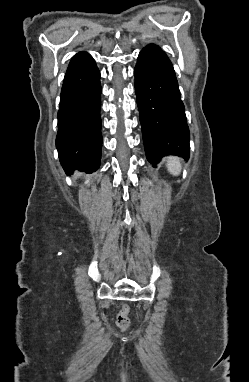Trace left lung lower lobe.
<instances>
[{"mask_svg": "<svg viewBox=\"0 0 249 382\" xmlns=\"http://www.w3.org/2000/svg\"><path fill=\"white\" fill-rule=\"evenodd\" d=\"M143 141L149 162L177 155L189 159V129L175 71L166 53L149 44L134 70Z\"/></svg>", "mask_w": 249, "mask_h": 382, "instance_id": "left-lung-lower-lobe-1", "label": "left lung lower lobe"}]
</instances>
